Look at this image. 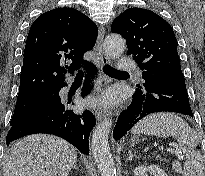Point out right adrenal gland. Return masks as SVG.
Wrapping results in <instances>:
<instances>
[{"mask_svg":"<svg viewBox=\"0 0 205 176\" xmlns=\"http://www.w3.org/2000/svg\"><path fill=\"white\" fill-rule=\"evenodd\" d=\"M73 169L80 170L79 167L77 166V163H76V162H75L74 165H73Z\"/></svg>","mask_w":205,"mask_h":176,"instance_id":"obj_1","label":"right adrenal gland"}]
</instances>
